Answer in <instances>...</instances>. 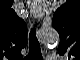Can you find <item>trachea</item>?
<instances>
[{"instance_id": "1", "label": "trachea", "mask_w": 80, "mask_h": 60, "mask_svg": "<svg viewBox=\"0 0 80 60\" xmlns=\"http://www.w3.org/2000/svg\"><path fill=\"white\" fill-rule=\"evenodd\" d=\"M29 54L33 55V57L41 55V48L35 30H32L29 34Z\"/></svg>"}]
</instances>
